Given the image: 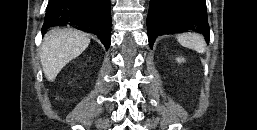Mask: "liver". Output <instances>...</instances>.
<instances>
[{
    "label": "liver",
    "instance_id": "obj_1",
    "mask_svg": "<svg viewBox=\"0 0 257 130\" xmlns=\"http://www.w3.org/2000/svg\"><path fill=\"white\" fill-rule=\"evenodd\" d=\"M90 39L73 29H53L44 37L40 60L44 74L52 82L62 68L86 50Z\"/></svg>",
    "mask_w": 257,
    "mask_h": 130
}]
</instances>
